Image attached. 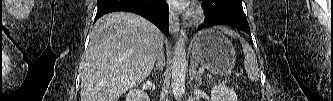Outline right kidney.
<instances>
[{"mask_svg": "<svg viewBox=\"0 0 333 101\" xmlns=\"http://www.w3.org/2000/svg\"><path fill=\"white\" fill-rule=\"evenodd\" d=\"M126 101H150L149 96L144 91L130 89L126 95Z\"/></svg>", "mask_w": 333, "mask_h": 101, "instance_id": "right-kidney-1", "label": "right kidney"}]
</instances>
